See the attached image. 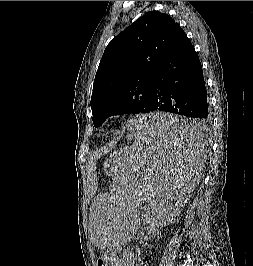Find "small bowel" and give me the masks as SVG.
Listing matches in <instances>:
<instances>
[{"label":"small bowel","mask_w":253,"mask_h":266,"mask_svg":"<svg viewBox=\"0 0 253 266\" xmlns=\"http://www.w3.org/2000/svg\"><path fill=\"white\" fill-rule=\"evenodd\" d=\"M119 266H148V264L139 251L125 249L121 252Z\"/></svg>","instance_id":"1"}]
</instances>
